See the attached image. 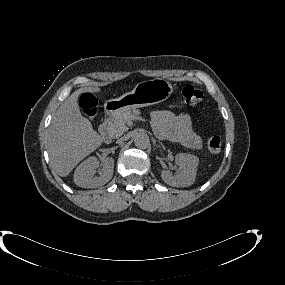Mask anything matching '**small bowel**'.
I'll list each match as a JSON object with an SVG mask.
<instances>
[{
	"label": "small bowel",
	"mask_w": 285,
	"mask_h": 285,
	"mask_svg": "<svg viewBox=\"0 0 285 285\" xmlns=\"http://www.w3.org/2000/svg\"><path fill=\"white\" fill-rule=\"evenodd\" d=\"M152 127L155 134L162 139L180 143L190 149H200L202 146L201 138L195 132L187 114L176 115L167 110L154 111Z\"/></svg>",
	"instance_id": "1"
}]
</instances>
